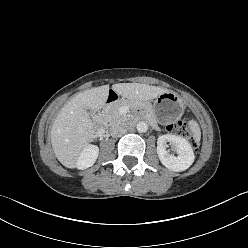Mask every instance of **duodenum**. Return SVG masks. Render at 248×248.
<instances>
[{
	"label": "duodenum",
	"mask_w": 248,
	"mask_h": 248,
	"mask_svg": "<svg viewBox=\"0 0 248 248\" xmlns=\"http://www.w3.org/2000/svg\"><path fill=\"white\" fill-rule=\"evenodd\" d=\"M118 99H119L118 93L115 90H110L107 97H106V100L104 103V108L107 107L108 105L116 102ZM94 124L98 130L103 131L104 118H103V115L101 113L95 117Z\"/></svg>",
	"instance_id": "obj_1"
}]
</instances>
